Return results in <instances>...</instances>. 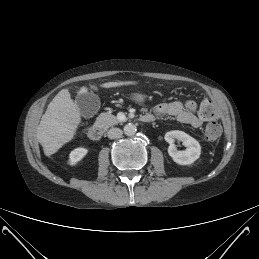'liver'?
<instances>
[{"mask_svg": "<svg viewBox=\"0 0 259 259\" xmlns=\"http://www.w3.org/2000/svg\"><path fill=\"white\" fill-rule=\"evenodd\" d=\"M135 81L106 82L103 88L135 85ZM81 122L78 105L71 99L68 89H62L50 102L37 128V139L44 154L56 153L64 144L71 141Z\"/></svg>", "mask_w": 259, "mask_h": 259, "instance_id": "obj_1", "label": "liver"}]
</instances>
